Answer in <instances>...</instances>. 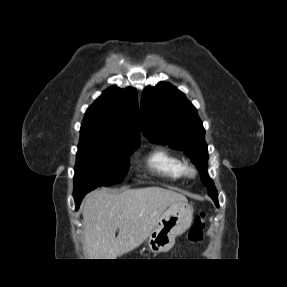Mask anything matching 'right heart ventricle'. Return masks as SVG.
Here are the masks:
<instances>
[{
  "label": "right heart ventricle",
  "mask_w": 287,
  "mask_h": 287,
  "mask_svg": "<svg viewBox=\"0 0 287 287\" xmlns=\"http://www.w3.org/2000/svg\"><path fill=\"white\" fill-rule=\"evenodd\" d=\"M147 165L151 171L170 181H179L184 177L183 160L164 148L155 149L149 155Z\"/></svg>",
  "instance_id": "e07e8e85"
}]
</instances>
